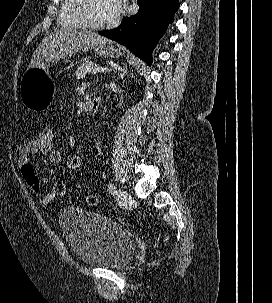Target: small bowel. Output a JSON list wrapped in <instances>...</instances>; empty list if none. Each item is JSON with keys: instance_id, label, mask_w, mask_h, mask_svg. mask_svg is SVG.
Returning a JSON list of instances; mask_svg holds the SVG:
<instances>
[{"instance_id": "small-bowel-1", "label": "small bowel", "mask_w": 272, "mask_h": 303, "mask_svg": "<svg viewBox=\"0 0 272 303\" xmlns=\"http://www.w3.org/2000/svg\"><path fill=\"white\" fill-rule=\"evenodd\" d=\"M34 154H46L48 160L53 164H57L61 161V153L59 150L41 145L36 138H27L17 150L16 161L18 165L21 167L26 165L29 156ZM54 197L55 193L53 191H49L41 196L40 203L47 206L53 201Z\"/></svg>"}]
</instances>
